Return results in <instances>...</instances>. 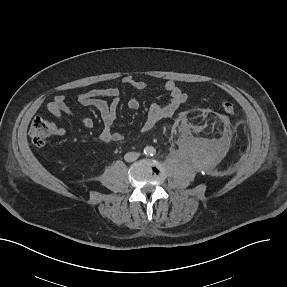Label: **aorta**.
<instances>
[{
    "label": "aorta",
    "instance_id": "aorta-1",
    "mask_svg": "<svg viewBox=\"0 0 287 287\" xmlns=\"http://www.w3.org/2000/svg\"><path fill=\"white\" fill-rule=\"evenodd\" d=\"M153 150H154L153 147H146L145 150H144V152H145L146 154H151V153H153Z\"/></svg>",
    "mask_w": 287,
    "mask_h": 287
}]
</instances>
